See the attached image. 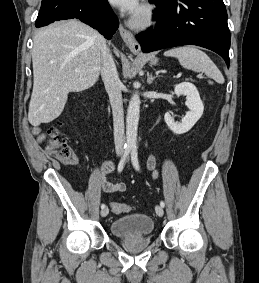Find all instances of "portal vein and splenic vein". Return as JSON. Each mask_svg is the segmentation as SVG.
Instances as JSON below:
<instances>
[{"label": "portal vein and splenic vein", "instance_id": "18ae733b", "mask_svg": "<svg viewBox=\"0 0 259 283\" xmlns=\"http://www.w3.org/2000/svg\"><path fill=\"white\" fill-rule=\"evenodd\" d=\"M75 71H76V72H79V71H80V69H78V68H77V69H75ZM177 77H178V76H177Z\"/></svg>", "mask_w": 259, "mask_h": 283}]
</instances>
